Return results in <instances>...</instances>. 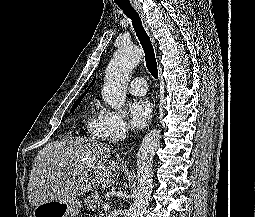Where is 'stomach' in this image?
Wrapping results in <instances>:
<instances>
[{
	"mask_svg": "<svg viewBox=\"0 0 255 217\" xmlns=\"http://www.w3.org/2000/svg\"><path fill=\"white\" fill-rule=\"evenodd\" d=\"M81 208L79 200L66 199L45 202L34 208V217H76Z\"/></svg>",
	"mask_w": 255,
	"mask_h": 217,
	"instance_id": "stomach-1",
	"label": "stomach"
}]
</instances>
